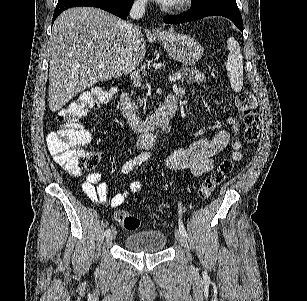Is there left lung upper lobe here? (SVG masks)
<instances>
[{
	"instance_id": "5c2ea615",
	"label": "left lung upper lobe",
	"mask_w": 307,
	"mask_h": 301,
	"mask_svg": "<svg viewBox=\"0 0 307 301\" xmlns=\"http://www.w3.org/2000/svg\"><path fill=\"white\" fill-rule=\"evenodd\" d=\"M209 4H223L232 7H237L236 0H194L192 7H200Z\"/></svg>"
}]
</instances>
